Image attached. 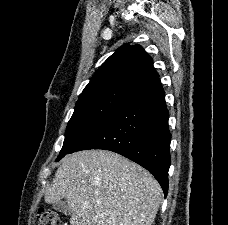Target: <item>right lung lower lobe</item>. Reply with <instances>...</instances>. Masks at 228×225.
<instances>
[{"label":"right lung lower lobe","instance_id":"1","mask_svg":"<svg viewBox=\"0 0 228 225\" xmlns=\"http://www.w3.org/2000/svg\"><path fill=\"white\" fill-rule=\"evenodd\" d=\"M168 118L157 78L90 130L69 153L87 149L116 152L151 172L166 197L171 163Z\"/></svg>","mask_w":228,"mask_h":225}]
</instances>
